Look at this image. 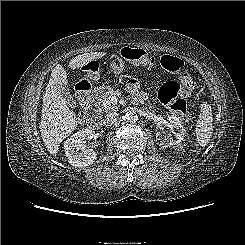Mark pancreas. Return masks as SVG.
<instances>
[{
    "mask_svg": "<svg viewBox=\"0 0 245 245\" xmlns=\"http://www.w3.org/2000/svg\"><path fill=\"white\" fill-rule=\"evenodd\" d=\"M118 95L119 91L117 90L107 91L98 100L99 109L103 112L117 111L119 109V105L117 104V102L112 101L111 98Z\"/></svg>",
    "mask_w": 245,
    "mask_h": 245,
    "instance_id": "obj_1",
    "label": "pancreas"
}]
</instances>
